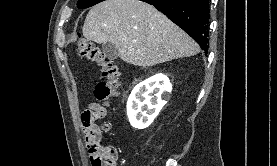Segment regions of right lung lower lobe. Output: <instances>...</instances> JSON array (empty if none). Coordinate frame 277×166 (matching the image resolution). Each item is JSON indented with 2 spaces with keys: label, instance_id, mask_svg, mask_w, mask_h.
Returning <instances> with one entry per match:
<instances>
[{
  "label": "right lung lower lobe",
  "instance_id": "1",
  "mask_svg": "<svg viewBox=\"0 0 277 166\" xmlns=\"http://www.w3.org/2000/svg\"><path fill=\"white\" fill-rule=\"evenodd\" d=\"M152 4L188 33L205 51L209 47V0H141Z\"/></svg>",
  "mask_w": 277,
  "mask_h": 166
}]
</instances>
